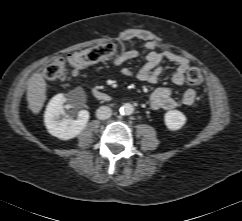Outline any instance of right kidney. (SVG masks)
Segmentation results:
<instances>
[{
	"instance_id": "right-kidney-1",
	"label": "right kidney",
	"mask_w": 242,
	"mask_h": 221,
	"mask_svg": "<svg viewBox=\"0 0 242 221\" xmlns=\"http://www.w3.org/2000/svg\"><path fill=\"white\" fill-rule=\"evenodd\" d=\"M66 102L68 108L77 106L73 99L66 98L64 94H57L48 103L44 115V122L48 132L62 140L72 139L79 135L89 120L87 110H80L77 119L61 118V115L64 114L63 104Z\"/></svg>"
}]
</instances>
